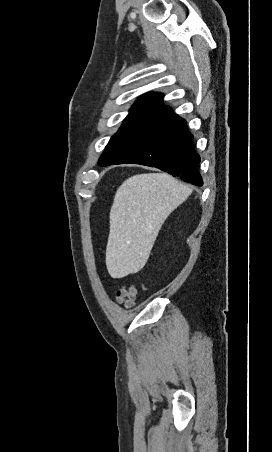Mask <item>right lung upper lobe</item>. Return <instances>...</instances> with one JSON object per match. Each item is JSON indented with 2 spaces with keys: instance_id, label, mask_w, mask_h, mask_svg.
Instances as JSON below:
<instances>
[{
  "instance_id": "1",
  "label": "right lung upper lobe",
  "mask_w": 272,
  "mask_h": 452,
  "mask_svg": "<svg viewBox=\"0 0 272 452\" xmlns=\"http://www.w3.org/2000/svg\"><path fill=\"white\" fill-rule=\"evenodd\" d=\"M163 96L159 93H150L142 96L130 110V114L164 115L173 113L169 107L160 106Z\"/></svg>"
}]
</instances>
